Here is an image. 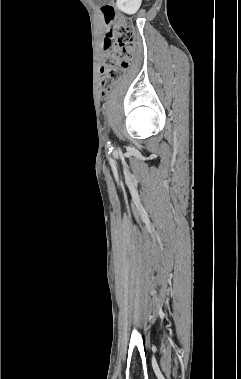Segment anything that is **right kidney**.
<instances>
[{
	"mask_svg": "<svg viewBox=\"0 0 241 379\" xmlns=\"http://www.w3.org/2000/svg\"><path fill=\"white\" fill-rule=\"evenodd\" d=\"M142 0H117L116 6L126 14H134L141 6Z\"/></svg>",
	"mask_w": 241,
	"mask_h": 379,
	"instance_id": "right-kidney-1",
	"label": "right kidney"
}]
</instances>
